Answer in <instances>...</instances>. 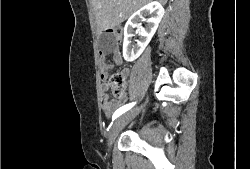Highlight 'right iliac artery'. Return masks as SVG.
<instances>
[{
  "mask_svg": "<svg viewBox=\"0 0 250 169\" xmlns=\"http://www.w3.org/2000/svg\"><path fill=\"white\" fill-rule=\"evenodd\" d=\"M135 105V103H130V104H126L122 107H120L118 110L115 111V113L113 114L112 119L115 120L117 117H119L121 114L125 113L126 111H128L129 109H131L133 106Z\"/></svg>",
  "mask_w": 250,
  "mask_h": 169,
  "instance_id": "obj_1",
  "label": "right iliac artery"
}]
</instances>
